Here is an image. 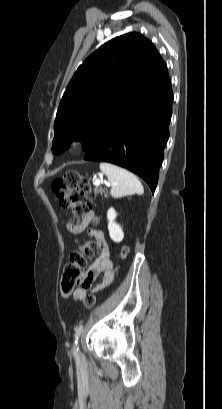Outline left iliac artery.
Here are the masks:
<instances>
[{
	"label": "left iliac artery",
	"mask_w": 222,
	"mask_h": 409,
	"mask_svg": "<svg viewBox=\"0 0 222 409\" xmlns=\"http://www.w3.org/2000/svg\"><path fill=\"white\" fill-rule=\"evenodd\" d=\"M82 331H83V325H79L78 328L76 329V332H75V341H74L75 345H77L78 338H79L80 334L82 333ZM78 351H79V349L74 347V355L77 358H78Z\"/></svg>",
	"instance_id": "left-iliac-artery-1"
}]
</instances>
